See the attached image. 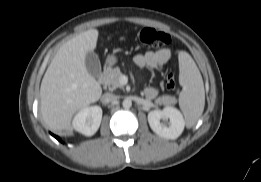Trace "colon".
Here are the masks:
<instances>
[{"mask_svg":"<svg viewBox=\"0 0 261 182\" xmlns=\"http://www.w3.org/2000/svg\"><path fill=\"white\" fill-rule=\"evenodd\" d=\"M136 39L141 44L150 48L164 47L171 42V37L165 32L158 31L153 28H142L136 33ZM165 86L168 90H172L175 87V79L173 74L168 71L165 78Z\"/></svg>","mask_w":261,"mask_h":182,"instance_id":"1","label":"colon"}]
</instances>
